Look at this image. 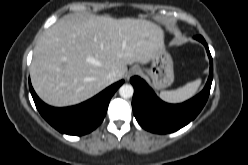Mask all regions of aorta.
I'll use <instances>...</instances> for the list:
<instances>
[{"instance_id":"762f6f07","label":"aorta","mask_w":248,"mask_h":165,"mask_svg":"<svg viewBox=\"0 0 248 165\" xmlns=\"http://www.w3.org/2000/svg\"><path fill=\"white\" fill-rule=\"evenodd\" d=\"M133 93H134V89L129 84H124L119 89L120 96L125 99L132 97Z\"/></svg>"}]
</instances>
